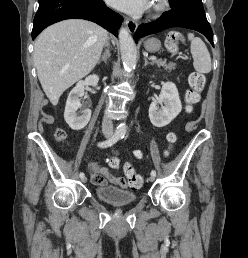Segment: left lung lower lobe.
Segmentation results:
<instances>
[{
  "label": "left lung lower lobe",
  "instance_id": "1",
  "mask_svg": "<svg viewBox=\"0 0 248 258\" xmlns=\"http://www.w3.org/2000/svg\"><path fill=\"white\" fill-rule=\"evenodd\" d=\"M171 10L165 12L156 21L141 24L134 34L137 42L140 37L158 33L171 27H183L196 30L202 33L212 44L213 32L207 21L202 3L187 2L177 5H170Z\"/></svg>",
  "mask_w": 248,
  "mask_h": 258
}]
</instances>
